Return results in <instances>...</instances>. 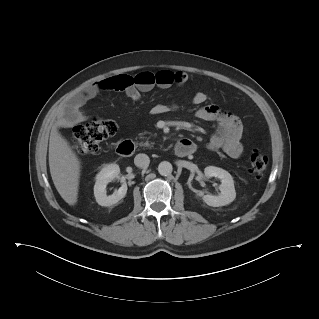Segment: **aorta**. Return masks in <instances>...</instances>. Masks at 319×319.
Listing matches in <instances>:
<instances>
[{
	"label": "aorta",
	"instance_id": "762f6f07",
	"mask_svg": "<svg viewBox=\"0 0 319 319\" xmlns=\"http://www.w3.org/2000/svg\"><path fill=\"white\" fill-rule=\"evenodd\" d=\"M172 164L168 161H163L158 166V172L162 176H168L172 173Z\"/></svg>",
	"mask_w": 319,
	"mask_h": 319
}]
</instances>
